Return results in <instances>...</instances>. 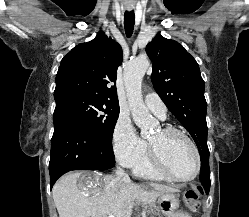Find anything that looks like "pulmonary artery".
Listing matches in <instances>:
<instances>
[{"mask_svg": "<svg viewBox=\"0 0 249 217\" xmlns=\"http://www.w3.org/2000/svg\"><path fill=\"white\" fill-rule=\"evenodd\" d=\"M145 104L159 119L165 120L167 108L161 98L156 93H149L145 96Z\"/></svg>", "mask_w": 249, "mask_h": 217, "instance_id": "pulmonary-artery-1", "label": "pulmonary artery"}]
</instances>
